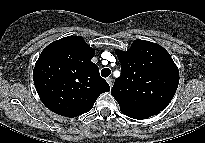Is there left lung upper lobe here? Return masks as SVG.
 I'll return each instance as SVG.
<instances>
[{
  "mask_svg": "<svg viewBox=\"0 0 205 143\" xmlns=\"http://www.w3.org/2000/svg\"><path fill=\"white\" fill-rule=\"evenodd\" d=\"M121 75L112 96L121 112H160L172 100L179 83V71L170 54L160 45L135 40L126 52L117 50Z\"/></svg>",
  "mask_w": 205,
  "mask_h": 143,
  "instance_id": "1",
  "label": "left lung upper lobe"
}]
</instances>
